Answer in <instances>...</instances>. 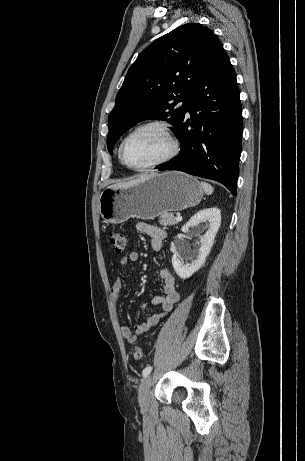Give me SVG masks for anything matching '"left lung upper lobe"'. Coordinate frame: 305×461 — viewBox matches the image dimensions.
Instances as JSON below:
<instances>
[{
	"label": "left lung upper lobe",
	"mask_w": 305,
	"mask_h": 461,
	"mask_svg": "<svg viewBox=\"0 0 305 461\" xmlns=\"http://www.w3.org/2000/svg\"><path fill=\"white\" fill-rule=\"evenodd\" d=\"M223 47L208 28L189 23L155 40L129 68L108 118L107 148L134 124L166 120L175 129L184 118L194 87L217 61ZM183 101L182 106H177Z\"/></svg>",
	"instance_id": "1"
}]
</instances>
